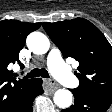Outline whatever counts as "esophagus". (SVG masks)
<instances>
[{"label":"esophagus","instance_id":"1","mask_svg":"<svg viewBox=\"0 0 112 112\" xmlns=\"http://www.w3.org/2000/svg\"><path fill=\"white\" fill-rule=\"evenodd\" d=\"M44 83H45V90L50 93H53L58 89V84L51 79H44Z\"/></svg>","mask_w":112,"mask_h":112}]
</instances>
